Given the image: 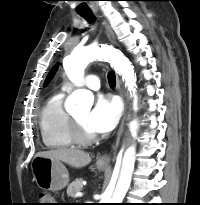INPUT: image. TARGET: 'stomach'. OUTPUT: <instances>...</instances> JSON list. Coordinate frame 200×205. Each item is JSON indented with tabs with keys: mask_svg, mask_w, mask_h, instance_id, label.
Listing matches in <instances>:
<instances>
[{
	"mask_svg": "<svg viewBox=\"0 0 200 205\" xmlns=\"http://www.w3.org/2000/svg\"><path fill=\"white\" fill-rule=\"evenodd\" d=\"M96 165L100 170L107 167L99 162ZM31 169L34 179L41 189L58 191L65 188L69 182L68 171L59 160L35 156L31 163Z\"/></svg>",
	"mask_w": 200,
	"mask_h": 205,
	"instance_id": "1",
	"label": "stomach"
}]
</instances>
